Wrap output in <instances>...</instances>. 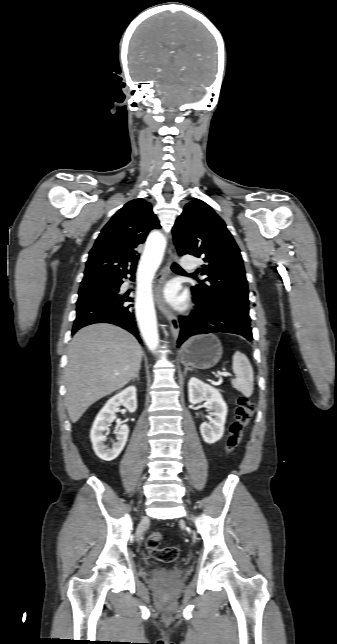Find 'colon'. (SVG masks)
<instances>
[{"mask_svg":"<svg viewBox=\"0 0 337 644\" xmlns=\"http://www.w3.org/2000/svg\"><path fill=\"white\" fill-rule=\"evenodd\" d=\"M254 403L247 396L241 395L237 399L235 418L230 426L226 440L227 452H232L239 445L243 431L248 425L253 413ZM162 535L159 531L150 533L146 538V548L153 558L164 563H171L178 559L179 549L175 546L160 547Z\"/></svg>","mask_w":337,"mask_h":644,"instance_id":"1","label":"colon"}]
</instances>
